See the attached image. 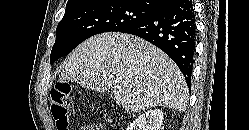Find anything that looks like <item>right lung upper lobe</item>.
<instances>
[{"label":"right lung upper lobe","mask_w":249,"mask_h":130,"mask_svg":"<svg viewBox=\"0 0 249 130\" xmlns=\"http://www.w3.org/2000/svg\"><path fill=\"white\" fill-rule=\"evenodd\" d=\"M100 1H106V0H68L66 4V11ZM130 1L138 4L139 6L146 7L153 11H156L170 0H130Z\"/></svg>","instance_id":"obj_1"}]
</instances>
